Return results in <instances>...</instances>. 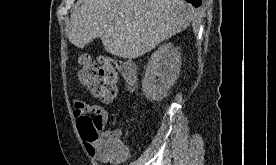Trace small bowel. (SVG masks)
<instances>
[{"label":"small bowel","instance_id":"obj_1","mask_svg":"<svg viewBox=\"0 0 276 165\" xmlns=\"http://www.w3.org/2000/svg\"><path fill=\"white\" fill-rule=\"evenodd\" d=\"M74 117L76 121H78L83 116H88V114H93L96 122L100 124L103 128L107 123L109 114L106 108L100 104L87 102V101H76L74 103ZM118 141L120 149L122 150V154L118 155L111 151H109L104 143H97L92 146H88L85 144L86 149L90 155L95 157L100 162H120L127 158L128 150L126 146L121 141L122 131L117 129L110 132Z\"/></svg>","mask_w":276,"mask_h":165}]
</instances>
